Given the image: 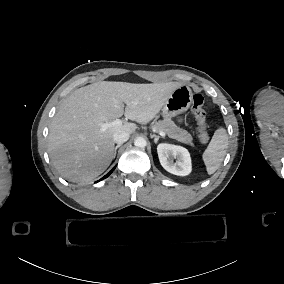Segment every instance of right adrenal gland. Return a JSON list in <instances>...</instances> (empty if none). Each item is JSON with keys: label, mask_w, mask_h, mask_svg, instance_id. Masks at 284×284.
I'll list each match as a JSON object with an SVG mask.
<instances>
[{"label": "right adrenal gland", "mask_w": 284, "mask_h": 284, "mask_svg": "<svg viewBox=\"0 0 284 284\" xmlns=\"http://www.w3.org/2000/svg\"><path fill=\"white\" fill-rule=\"evenodd\" d=\"M121 146H122V144H118V145L114 148L113 158L116 157L117 149H118L119 147H121Z\"/></svg>", "instance_id": "1"}]
</instances>
